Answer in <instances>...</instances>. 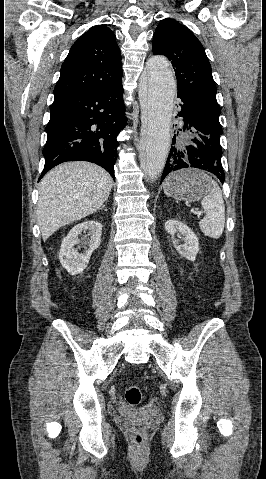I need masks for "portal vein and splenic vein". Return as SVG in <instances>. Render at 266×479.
Listing matches in <instances>:
<instances>
[{"label": "portal vein and splenic vein", "mask_w": 266, "mask_h": 479, "mask_svg": "<svg viewBox=\"0 0 266 479\" xmlns=\"http://www.w3.org/2000/svg\"><path fill=\"white\" fill-rule=\"evenodd\" d=\"M192 213H193L194 215H197V216H201V215H202V212H201V211H194V210H193Z\"/></svg>", "instance_id": "1"}]
</instances>
